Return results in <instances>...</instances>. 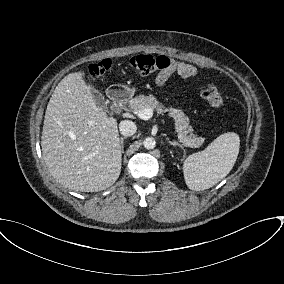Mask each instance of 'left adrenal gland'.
Wrapping results in <instances>:
<instances>
[{
  "instance_id": "1",
  "label": "left adrenal gland",
  "mask_w": 284,
  "mask_h": 284,
  "mask_svg": "<svg viewBox=\"0 0 284 284\" xmlns=\"http://www.w3.org/2000/svg\"><path fill=\"white\" fill-rule=\"evenodd\" d=\"M169 143H170L172 146H179V147L185 152V149H184L183 145L180 144L179 142L169 140Z\"/></svg>"
}]
</instances>
